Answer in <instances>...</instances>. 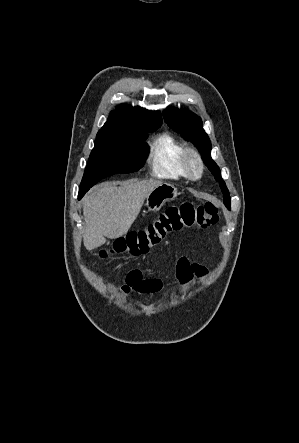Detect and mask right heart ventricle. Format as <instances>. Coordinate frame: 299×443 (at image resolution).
<instances>
[{
    "instance_id": "1",
    "label": "right heart ventricle",
    "mask_w": 299,
    "mask_h": 443,
    "mask_svg": "<svg viewBox=\"0 0 299 443\" xmlns=\"http://www.w3.org/2000/svg\"><path fill=\"white\" fill-rule=\"evenodd\" d=\"M186 145L170 133L157 136L150 147L149 166L160 178L180 180L187 176L182 167V155Z\"/></svg>"
}]
</instances>
